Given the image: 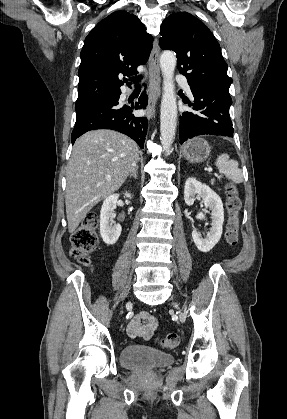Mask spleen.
<instances>
[{
  "mask_svg": "<svg viewBox=\"0 0 287 419\" xmlns=\"http://www.w3.org/2000/svg\"><path fill=\"white\" fill-rule=\"evenodd\" d=\"M219 172L224 174L227 179L235 183L243 182L242 171L239 169V164L236 160L230 159L228 154H221L215 162Z\"/></svg>",
  "mask_w": 287,
  "mask_h": 419,
  "instance_id": "3e777b00",
  "label": "spleen"
}]
</instances>
